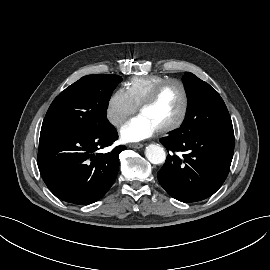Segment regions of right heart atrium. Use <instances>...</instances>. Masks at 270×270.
<instances>
[{
  "mask_svg": "<svg viewBox=\"0 0 270 270\" xmlns=\"http://www.w3.org/2000/svg\"><path fill=\"white\" fill-rule=\"evenodd\" d=\"M136 111L137 107L130 100L125 90L116 89L107 100L105 115L107 121L113 127L119 128Z\"/></svg>",
  "mask_w": 270,
  "mask_h": 270,
  "instance_id": "1",
  "label": "right heart atrium"
}]
</instances>
